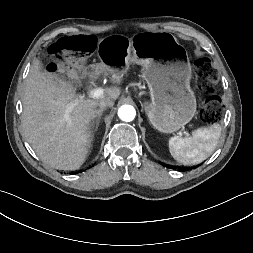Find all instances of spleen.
I'll return each mask as SVG.
<instances>
[{
	"label": "spleen",
	"instance_id": "spleen-1",
	"mask_svg": "<svg viewBox=\"0 0 253 253\" xmlns=\"http://www.w3.org/2000/svg\"><path fill=\"white\" fill-rule=\"evenodd\" d=\"M221 135V126L198 128L191 137H171L169 151L172 157L184 165H195L207 159L215 150Z\"/></svg>",
	"mask_w": 253,
	"mask_h": 253
}]
</instances>
